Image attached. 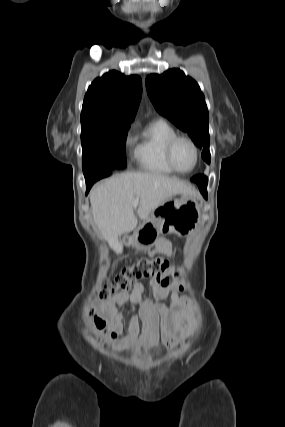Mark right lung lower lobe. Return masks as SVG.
Here are the masks:
<instances>
[{
	"instance_id": "obj_1",
	"label": "right lung lower lobe",
	"mask_w": 285,
	"mask_h": 427,
	"mask_svg": "<svg viewBox=\"0 0 285 427\" xmlns=\"http://www.w3.org/2000/svg\"><path fill=\"white\" fill-rule=\"evenodd\" d=\"M111 173H112V172H107V173H104L103 175L98 176V177H96V178H93V179H90V180H86V188H87L86 194H88V192H89L90 188L92 187V185H93L97 180H99V179H101V178H104V177H107V176H109Z\"/></svg>"
}]
</instances>
